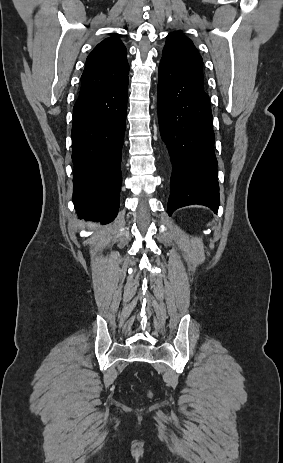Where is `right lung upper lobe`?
Here are the masks:
<instances>
[{
	"label": "right lung upper lobe",
	"instance_id": "right-lung-upper-lobe-1",
	"mask_svg": "<svg viewBox=\"0 0 283 463\" xmlns=\"http://www.w3.org/2000/svg\"><path fill=\"white\" fill-rule=\"evenodd\" d=\"M127 50L117 35L104 39L89 54L79 95L114 84L128 76Z\"/></svg>",
	"mask_w": 283,
	"mask_h": 463
}]
</instances>
